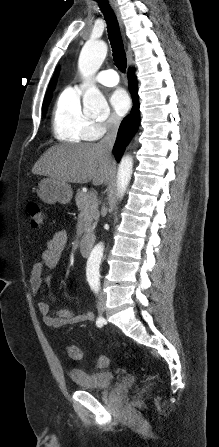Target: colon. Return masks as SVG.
<instances>
[{"label":"colon","instance_id":"5ec220e1","mask_svg":"<svg viewBox=\"0 0 219 447\" xmlns=\"http://www.w3.org/2000/svg\"><path fill=\"white\" fill-rule=\"evenodd\" d=\"M27 213L29 216L30 226L32 228H38L44 222V214L41 205L36 202H30L27 205ZM67 353L69 357L75 360H80L82 358V352L80 348L74 344L67 346ZM98 365L105 368L109 365V360L106 356H100L97 361ZM149 387H145L142 392H146Z\"/></svg>","mask_w":219,"mask_h":447}]
</instances>
